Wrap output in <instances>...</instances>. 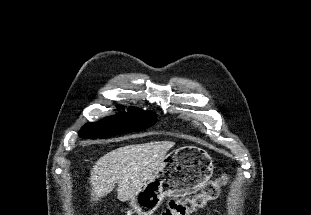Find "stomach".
<instances>
[{"mask_svg":"<svg viewBox=\"0 0 311 215\" xmlns=\"http://www.w3.org/2000/svg\"><path fill=\"white\" fill-rule=\"evenodd\" d=\"M211 156L196 146H184L167 154L155 173L131 199L139 215H150L166 196L191 195L203 188L212 176Z\"/></svg>","mask_w":311,"mask_h":215,"instance_id":"stomach-1","label":"stomach"}]
</instances>
